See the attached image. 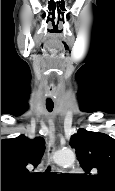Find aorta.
<instances>
[{"instance_id":"762f6f07","label":"aorta","mask_w":115,"mask_h":191,"mask_svg":"<svg viewBox=\"0 0 115 191\" xmlns=\"http://www.w3.org/2000/svg\"><path fill=\"white\" fill-rule=\"evenodd\" d=\"M54 161L60 166H72L75 162V154L71 150H60L54 154Z\"/></svg>"}]
</instances>
